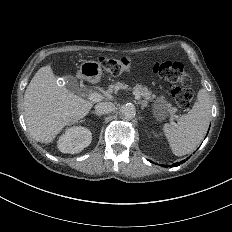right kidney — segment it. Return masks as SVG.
Masks as SVG:
<instances>
[{
  "label": "right kidney",
  "instance_id": "obj_1",
  "mask_svg": "<svg viewBox=\"0 0 232 232\" xmlns=\"http://www.w3.org/2000/svg\"><path fill=\"white\" fill-rule=\"evenodd\" d=\"M92 140V133L89 129L81 126H74L66 129L59 137L57 147L62 153L75 154L89 146Z\"/></svg>",
  "mask_w": 232,
  "mask_h": 232
}]
</instances>
